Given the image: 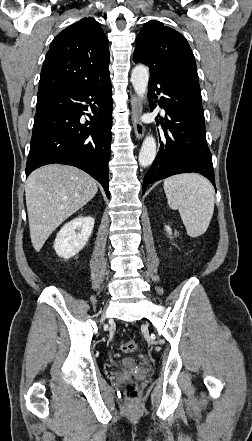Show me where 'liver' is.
<instances>
[{
  "label": "liver",
  "mask_w": 252,
  "mask_h": 441,
  "mask_svg": "<svg viewBox=\"0 0 252 441\" xmlns=\"http://www.w3.org/2000/svg\"><path fill=\"white\" fill-rule=\"evenodd\" d=\"M97 191L96 181L73 166L51 164L33 171L26 181L25 196L34 249L40 251L52 232Z\"/></svg>",
  "instance_id": "6515ba94"
}]
</instances>
